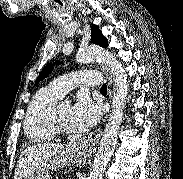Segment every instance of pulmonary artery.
<instances>
[{
    "label": "pulmonary artery",
    "mask_w": 183,
    "mask_h": 179,
    "mask_svg": "<svg viewBox=\"0 0 183 179\" xmlns=\"http://www.w3.org/2000/svg\"><path fill=\"white\" fill-rule=\"evenodd\" d=\"M102 77L97 71H78L54 79L49 87L61 96L76 86H100Z\"/></svg>",
    "instance_id": "pulmonary-artery-1"
}]
</instances>
